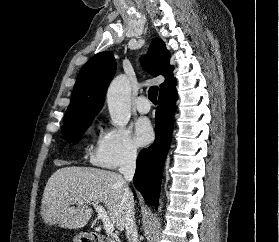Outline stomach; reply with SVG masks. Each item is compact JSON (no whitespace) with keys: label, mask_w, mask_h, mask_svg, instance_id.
Masks as SVG:
<instances>
[{"label":"stomach","mask_w":279,"mask_h":242,"mask_svg":"<svg viewBox=\"0 0 279 242\" xmlns=\"http://www.w3.org/2000/svg\"><path fill=\"white\" fill-rule=\"evenodd\" d=\"M88 238L87 234L81 233L74 237V242H84Z\"/></svg>","instance_id":"1"}]
</instances>
